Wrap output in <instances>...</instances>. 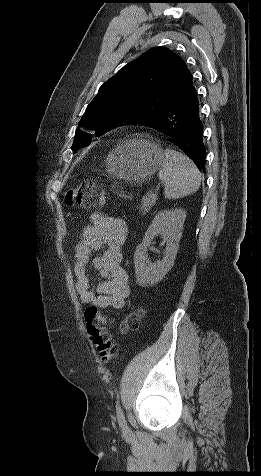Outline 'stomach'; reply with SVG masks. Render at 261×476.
Masks as SVG:
<instances>
[{"mask_svg": "<svg viewBox=\"0 0 261 476\" xmlns=\"http://www.w3.org/2000/svg\"><path fill=\"white\" fill-rule=\"evenodd\" d=\"M162 149L143 139H129L113 148L105 160L106 171L127 181H143L161 167Z\"/></svg>", "mask_w": 261, "mask_h": 476, "instance_id": "0dacf381", "label": "stomach"}]
</instances>
